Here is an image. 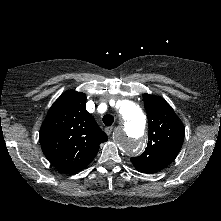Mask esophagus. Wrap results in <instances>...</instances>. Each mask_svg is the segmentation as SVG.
<instances>
[{"mask_svg":"<svg viewBox=\"0 0 221 221\" xmlns=\"http://www.w3.org/2000/svg\"><path fill=\"white\" fill-rule=\"evenodd\" d=\"M112 131H113V127H106V128H105V133H106L107 135H110V134L112 133Z\"/></svg>","mask_w":221,"mask_h":221,"instance_id":"esophagus-1","label":"esophagus"}]
</instances>
